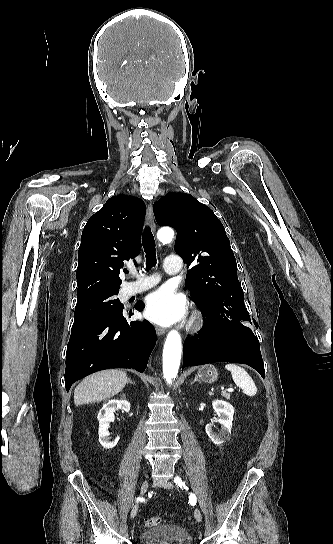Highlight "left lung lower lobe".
Returning <instances> with one entry per match:
<instances>
[{"label": "left lung lower lobe", "mask_w": 333, "mask_h": 544, "mask_svg": "<svg viewBox=\"0 0 333 544\" xmlns=\"http://www.w3.org/2000/svg\"><path fill=\"white\" fill-rule=\"evenodd\" d=\"M183 355V368L218 361L235 362L247 364L265 377L259 342L248 327L239 323L207 317L204 330L184 342Z\"/></svg>", "instance_id": "left-lung-lower-lobe-1"}]
</instances>
